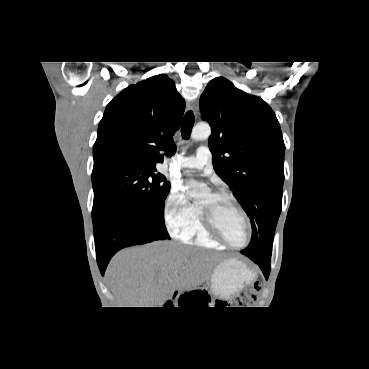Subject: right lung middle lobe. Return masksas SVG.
<instances>
[{"mask_svg":"<svg viewBox=\"0 0 369 369\" xmlns=\"http://www.w3.org/2000/svg\"><path fill=\"white\" fill-rule=\"evenodd\" d=\"M92 184L94 228L113 211L127 210L144 218L161 239H170L164 222L170 183L155 169L131 164L94 166Z\"/></svg>","mask_w":369,"mask_h":369,"instance_id":"dd1d6c3e","label":"right lung middle lobe"}]
</instances>
